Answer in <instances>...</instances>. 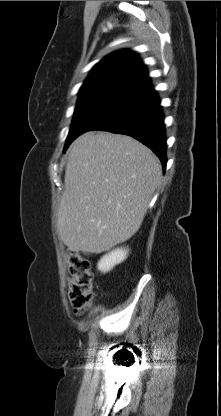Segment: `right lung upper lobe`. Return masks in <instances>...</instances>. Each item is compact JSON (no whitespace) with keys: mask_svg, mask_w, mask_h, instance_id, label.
<instances>
[{"mask_svg":"<svg viewBox=\"0 0 221 416\" xmlns=\"http://www.w3.org/2000/svg\"><path fill=\"white\" fill-rule=\"evenodd\" d=\"M152 88L144 64L135 52L120 50L101 60L82 85L79 96L117 94L125 97Z\"/></svg>","mask_w":221,"mask_h":416,"instance_id":"right-lung-upper-lobe-1","label":"right lung upper lobe"}]
</instances>
